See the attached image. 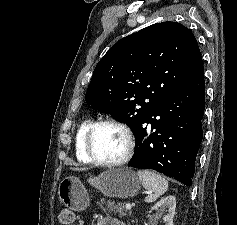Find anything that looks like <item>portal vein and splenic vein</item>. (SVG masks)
<instances>
[{
	"mask_svg": "<svg viewBox=\"0 0 237 225\" xmlns=\"http://www.w3.org/2000/svg\"><path fill=\"white\" fill-rule=\"evenodd\" d=\"M126 209L130 210L131 209V205L130 204H126Z\"/></svg>",
	"mask_w": 237,
	"mask_h": 225,
	"instance_id": "obj_1",
	"label": "portal vein and splenic vein"
}]
</instances>
